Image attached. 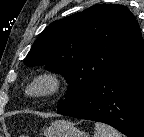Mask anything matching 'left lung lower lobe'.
Returning <instances> with one entry per match:
<instances>
[{
    "label": "left lung lower lobe",
    "mask_w": 144,
    "mask_h": 137,
    "mask_svg": "<svg viewBox=\"0 0 144 137\" xmlns=\"http://www.w3.org/2000/svg\"><path fill=\"white\" fill-rule=\"evenodd\" d=\"M58 113L106 123L128 137H144V41L108 71L82 99Z\"/></svg>",
    "instance_id": "1"
}]
</instances>
